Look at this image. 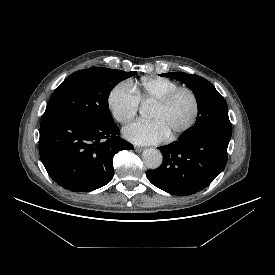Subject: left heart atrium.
<instances>
[{
    "instance_id": "obj_1",
    "label": "left heart atrium",
    "mask_w": 275,
    "mask_h": 275,
    "mask_svg": "<svg viewBox=\"0 0 275 275\" xmlns=\"http://www.w3.org/2000/svg\"><path fill=\"white\" fill-rule=\"evenodd\" d=\"M123 135L127 140L139 145L156 144L170 136L158 120H137L123 129Z\"/></svg>"
}]
</instances>
